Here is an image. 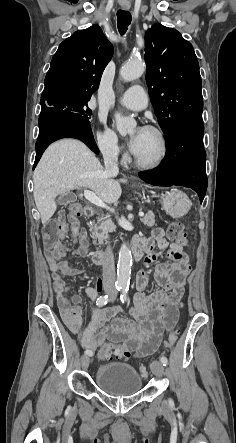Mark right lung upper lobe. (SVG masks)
Here are the masks:
<instances>
[{
    "label": "right lung upper lobe",
    "mask_w": 236,
    "mask_h": 443,
    "mask_svg": "<svg viewBox=\"0 0 236 443\" xmlns=\"http://www.w3.org/2000/svg\"><path fill=\"white\" fill-rule=\"evenodd\" d=\"M113 55V46L98 25L76 31L54 54L41 102L59 94L91 98Z\"/></svg>",
    "instance_id": "cb5924a9"
}]
</instances>
